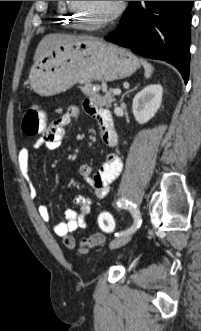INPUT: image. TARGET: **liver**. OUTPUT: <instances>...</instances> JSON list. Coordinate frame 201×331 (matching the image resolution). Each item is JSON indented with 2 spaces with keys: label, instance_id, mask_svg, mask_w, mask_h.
I'll list each match as a JSON object with an SVG mask.
<instances>
[{
  "label": "liver",
  "instance_id": "liver-1",
  "mask_svg": "<svg viewBox=\"0 0 201 331\" xmlns=\"http://www.w3.org/2000/svg\"><path fill=\"white\" fill-rule=\"evenodd\" d=\"M84 39H93L91 36H75L66 34H48L42 38L35 51L34 60L36 61L44 53L62 44Z\"/></svg>",
  "mask_w": 201,
  "mask_h": 331
}]
</instances>
